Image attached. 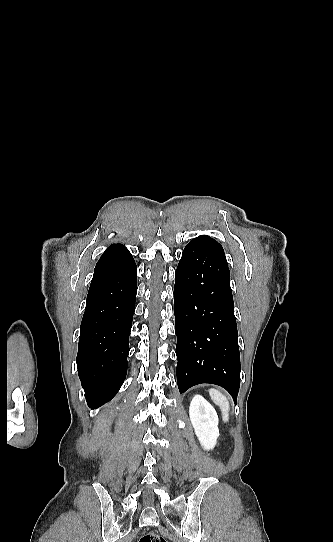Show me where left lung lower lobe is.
<instances>
[{"instance_id":"1","label":"left lung lower lobe","mask_w":333,"mask_h":542,"mask_svg":"<svg viewBox=\"0 0 333 542\" xmlns=\"http://www.w3.org/2000/svg\"><path fill=\"white\" fill-rule=\"evenodd\" d=\"M174 314L180 393L211 383L225 388L236 402L240 352L222 247L199 237L185 247L175 273Z\"/></svg>"}]
</instances>
